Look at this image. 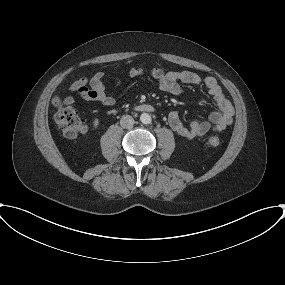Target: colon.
Returning <instances> with one entry per match:
<instances>
[{"label":"colon","instance_id":"obj_1","mask_svg":"<svg viewBox=\"0 0 285 285\" xmlns=\"http://www.w3.org/2000/svg\"><path fill=\"white\" fill-rule=\"evenodd\" d=\"M53 105L56 108L54 120L66 139L74 140L87 130L85 121L71 106L69 99L55 97ZM206 144L211 148H217L222 144V139L212 134L207 138Z\"/></svg>","mask_w":285,"mask_h":285}]
</instances>
